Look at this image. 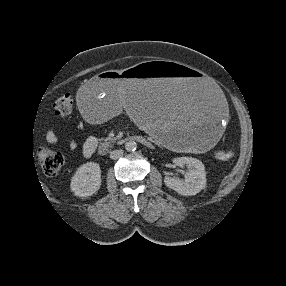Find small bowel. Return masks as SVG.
<instances>
[{
    "instance_id": "obj_1",
    "label": "small bowel",
    "mask_w": 286,
    "mask_h": 286,
    "mask_svg": "<svg viewBox=\"0 0 286 286\" xmlns=\"http://www.w3.org/2000/svg\"><path fill=\"white\" fill-rule=\"evenodd\" d=\"M47 141L50 143H55L57 141V137L53 131H48L47 133ZM98 140L95 136H89L87 137L81 144L76 140V138L71 137L68 142V148L70 150H77L80 149L83 156L88 158L91 157L97 148ZM223 158L228 157L229 154L227 151H223Z\"/></svg>"
}]
</instances>
